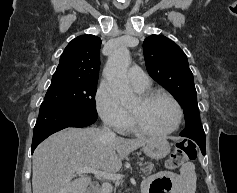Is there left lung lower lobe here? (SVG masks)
<instances>
[{
    "instance_id": "left-lung-lower-lobe-1",
    "label": "left lung lower lobe",
    "mask_w": 237,
    "mask_h": 193,
    "mask_svg": "<svg viewBox=\"0 0 237 193\" xmlns=\"http://www.w3.org/2000/svg\"><path fill=\"white\" fill-rule=\"evenodd\" d=\"M199 147H200V149H201L202 154L205 155V146H204V145H201V146H199Z\"/></svg>"
}]
</instances>
